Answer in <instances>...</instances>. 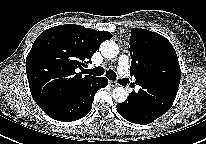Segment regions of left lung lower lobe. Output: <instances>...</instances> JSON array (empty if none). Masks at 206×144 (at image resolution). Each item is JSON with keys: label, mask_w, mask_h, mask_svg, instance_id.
<instances>
[{"label": "left lung lower lobe", "mask_w": 206, "mask_h": 144, "mask_svg": "<svg viewBox=\"0 0 206 144\" xmlns=\"http://www.w3.org/2000/svg\"><path fill=\"white\" fill-rule=\"evenodd\" d=\"M138 92L133 91L124 103L117 104L119 114L135 124H149L166 113L173 104L175 97L169 93L150 95L145 86Z\"/></svg>", "instance_id": "0a47b994"}]
</instances>
